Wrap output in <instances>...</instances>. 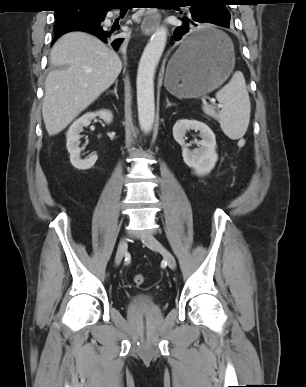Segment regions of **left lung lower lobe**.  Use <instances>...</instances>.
<instances>
[{"instance_id": "obj_1", "label": "left lung lower lobe", "mask_w": 306, "mask_h": 387, "mask_svg": "<svg viewBox=\"0 0 306 387\" xmlns=\"http://www.w3.org/2000/svg\"><path fill=\"white\" fill-rule=\"evenodd\" d=\"M205 9V8H204ZM199 23H211L218 26L229 28V23L214 22L205 10L199 9L198 12H191L189 17L182 18V25L178 26L173 33L176 41L183 39L181 52L183 57L193 58L204 51H207L213 45L216 37L211 32H199L190 37L188 33L192 31L193 26Z\"/></svg>"}]
</instances>
